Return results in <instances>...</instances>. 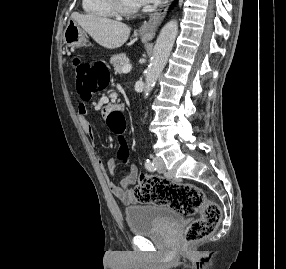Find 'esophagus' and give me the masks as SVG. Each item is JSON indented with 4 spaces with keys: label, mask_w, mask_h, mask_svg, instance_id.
Masks as SVG:
<instances>
[{
    "label": "esophagus",
    "mask_w": 286,
    "mask_h": 269,
    "mask_svg": "<svg viewBox=\"0 0 286 269\" xmlns=\"http://www.w3.org/2000/svg\"><path fill=\"white\" fill-rule=\"evenodd\" d=\"M173 0H165L163 4L150 16V19L143 23L139 32L145 39L154 38L156 31L166 16L167 10Z\"/></svg>",
    "instance_id": "34e87169"
}]
</instances>
